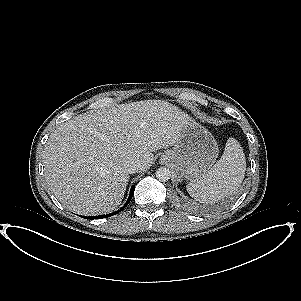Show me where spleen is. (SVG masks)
<instances>
[{"label":"spleen","mask_w":301,"mask_h":301,"mask_svg":"<svg viewBox=\"0 0 301 301\" xmlns=\"http://www.w3.org/2000/svg\"><path fill=\"white\" fill-rule=\"evenodd\" d=\"M246 171V160L240 145L229 139L216 164L197 180L187 185L191 197L201 202H215L233 195L242 183Z\"/></svg>","instance_id":"spleen-1"}]
</instances>
